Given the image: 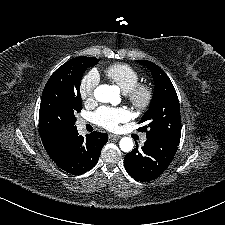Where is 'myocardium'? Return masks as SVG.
Here are the masks:
<instances>
[{
    "label": "myocardium",
    "instance_id": "f54148a6",
    "mask_svg": "<svg viewBox=\"0 0 225 225\" xmlns=\"http://www.w3.org/2000/svg\"><path fill=\"white\" fill-rule=\"evenodd\" d=\"M125 94L127 100L134 109L144 111L150 106L154 91L149 83L138 82Z\"/></svg>",
    "mask_w": 225,
    "mask_h": 225
}]
</instances>
